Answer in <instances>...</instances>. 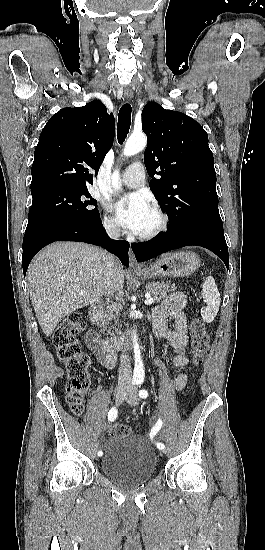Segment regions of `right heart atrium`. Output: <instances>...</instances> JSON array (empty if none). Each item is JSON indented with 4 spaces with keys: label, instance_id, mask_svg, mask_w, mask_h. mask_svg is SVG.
I'll return each instance as SVG.
<instances>
[{
    "label": "right heart atrium",
    "instance_id": "right-heart-atrium-1",
    "mask_svg": "<svg viewBox=\"0 0 265 550\" xmlns=\"http://www.w3.org/2000/svg\"><path fill=\"white\" fill-rule=\"evenodd\" d=\"M103 226L106 232L111 236H118L120 233L119 227L112 217L105 215L103 218Z\"/></svg>",
    "mask_w": 265,
    "mask_h": 550
}]
</instances>
